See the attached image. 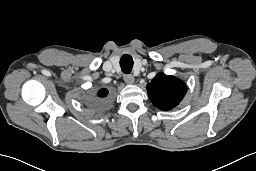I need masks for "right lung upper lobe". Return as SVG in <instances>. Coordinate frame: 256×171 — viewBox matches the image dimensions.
<instances>
[{"mask_svg":"<svg viewBox=\"0 0 256 171\" xmlns=\"http://www.w3.org/2000/svg\"><path fill=\"white\" fill-rule=\"evenodd\" d=\"M107 94H108V90L107 89H101L98 92V96L101 97V98L106 97Z\"/></svg>","mask_w":256,"mask_h":171,"instance_id":"obj_1","label":"right lung upper lobe"}]
</instances>
